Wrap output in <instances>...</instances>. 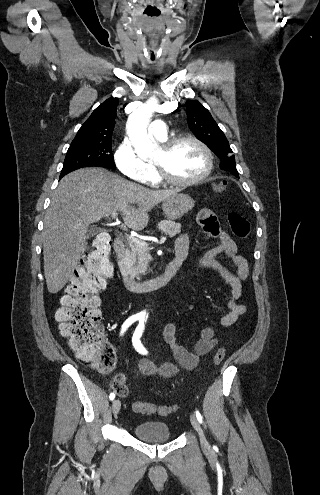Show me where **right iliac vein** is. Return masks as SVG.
<instances>
[{
	"instance_id": "obj_1",
	"label": "right iliac vein",
	"mask_w": 320,
	"mask_h": 495,
	"mask_svg": "<svg viewBox=\"0 0 320 495\" xmlns=\"http://www.w3.org/2000/svg\"><path fill=\"white\" fill-rule=\"evenodd\" d=\"M120 408H121L120 400L119 399L114 400L113 404H112V411H113L114 416H117V414L120 411Z\"/></svg>"
}]
</instances>
